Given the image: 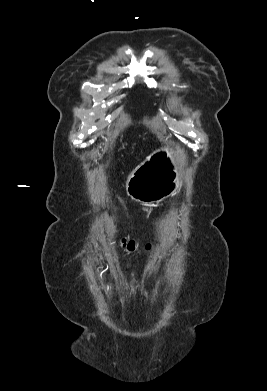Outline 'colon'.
<instances>
[{
  "label": "colon",
  "mask_w": 267,
  "mask_h": 391,
  "mask_svg": "<svg viewBox=\"0 0 267 391\" xmlns=\"http://www.w3.org/2000/svg\"><path fill=\"white\" fill-rule=\"evenodd\" d=\"M123 246L130 252L136 251L138 249V246L136 245V243L133 240L124 239ZM149 248H150V245L148 244L146 246V249H149Z\"/></svg>",
  "instance_id": "1"
}]
</instances>
